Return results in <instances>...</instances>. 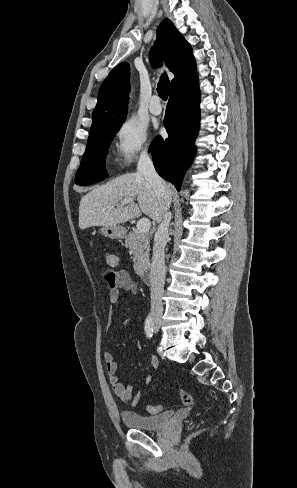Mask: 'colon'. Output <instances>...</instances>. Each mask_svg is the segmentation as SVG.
<instances>
[{
	"label": "colon",
	"instance_id": "5ec220e1",
	"mask_svg": "<svg viewBox=\"0 0 297 488\" xmlns=\"http://www.w3.org/2000/svg\"><path fill=\"white\" fill-rule=\"evenodd\" d=\"M103 278L108 285V287L113 286L114 284V273L111 270H106L103 274ZM180 393V399L182 403L186 406H189L193 403V396L185 391L184 389L179 390ZM162 410V406L160 405H148L147 406V411L151 414H156Z\"/></svg>",
	"mask_w": 297,
	"mask_h": 488
}]
</instances>
